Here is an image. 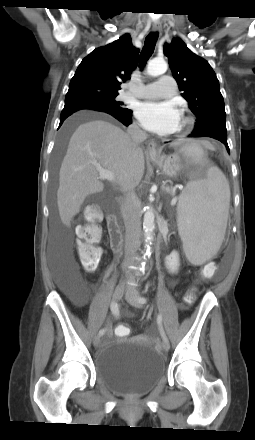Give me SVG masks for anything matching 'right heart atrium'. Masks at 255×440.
I'll list each match as a JSON object with an SVG mask.
<instances>
[{
    "mask_svg": "<svg viewBox=\"0 0 255 440\" xmlns=\"http://www.w3.org/2000/svg\"><path fill=\"white\" fill-rule=\"evenodd\" d=\"M134 128H135V129H138V127H137V126H134Z\"/></svg>",
    "mask_w": 255,
    "mask_h": 440,
    "instance_id": "right-heart-atrium-1",
    "label": "right heart atrium"
}]
</instances>
